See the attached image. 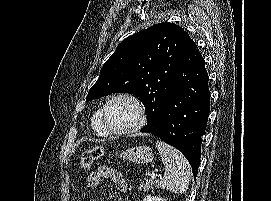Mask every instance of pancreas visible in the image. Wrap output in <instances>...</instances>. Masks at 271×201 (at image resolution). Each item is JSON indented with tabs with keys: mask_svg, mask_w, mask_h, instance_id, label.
Instances as JSON below:
<instances>
[{
	"mask_svg": "<svg viewBox=\"0 0 271 201\" xmlns=\"http://www.w3.org/2000/svg\"><path fill=\"white\" fill-rule=\"evenodd\" d=\"M154 181H151V180H149V181H147L145 184H144V182H142L141 184H140V186H139V188H138V190L139 191H144V192H146V191H148L149 189H153V185H154ZM158 183V187H160V183L159 182H156V184ZM161 188V187H160Z\"/></svg>",
	"mask_w": 271,
	"mask_h": 201,
	"instance_id": "1",
	"label": "pancreas"
}]
</instances>
